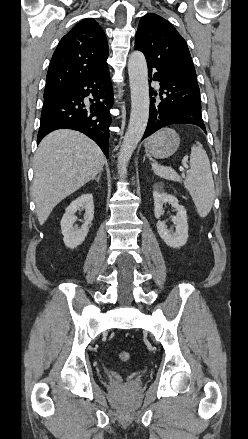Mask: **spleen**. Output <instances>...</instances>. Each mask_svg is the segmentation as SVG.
<instances>
[{
    "label": "spleen",
    "instance_id": "spleen-1",
    "mask_svg": "<svg viewBox=\"0 0 248 439\" xmlns=\"http://www.w3.org/2000/svg\"><path fill=\"white\" fill-rule=\"evenodd\" d=\"M154 173L164 179L182 182V178L171 168L152 163ZM189 191L200 217H206L214 202V181L210 161L199 142L191 149L190 172L183 181Z\"/></svg>",
    "mask_w": 248,
    "mask_h": 439
}]
</instances>
